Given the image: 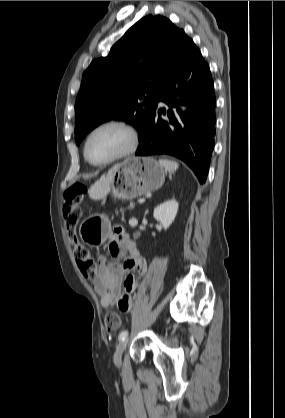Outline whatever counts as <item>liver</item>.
Listing matches in <instances>:
<instances>
[{
    "label": "liver",
    "instance_id": "liver-1",
    "mask_svg": "<svg viewBox=\"0 0 285 418\" xmlns=\"http://www.w3.org/2000/svg\"><path fill=\"white\" fill-rule=\"evenodd\" d=\"M116 166H114L106 176H102L90 187L88 191L90 198L93 200H99L107 195L111 189L113 182V172L116 169Z\"/></svg>",
    "mask_w": 285,
    "mask_h": 418
}]
</instances>
